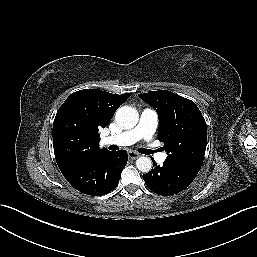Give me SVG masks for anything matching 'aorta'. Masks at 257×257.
Masks as SVG:
<instances>
[{
	"mask_svg": "<svg viewBox=\"0 0 257 257\" xmlns=\"http://www.w3.org/2000/svg\"><path fill=\"white\" fill-rule=\"evenodd\" d=\"M116 122L124 129H131L138 123L139 115L135 108L122 106L116 111ZM136 167L143 173H148L152 168V161L149 157L141 156L136 160Z\"/></svg>",
	"mask_w": 257,
	"mask_h": 257,
	"instance_id": "762f6f07",
	"label": "aorta"
}]
</instances>
